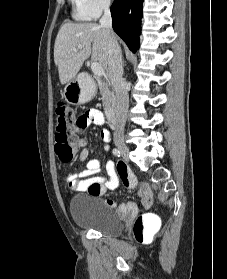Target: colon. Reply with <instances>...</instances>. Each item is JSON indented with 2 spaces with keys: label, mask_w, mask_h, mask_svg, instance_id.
I'll list each match as a JSON object with an SVG mask.
<instances>
[{
  "label": "colon",
  "mask_w": 227,
  "mask_h": 279,
  "mask_svg": "<svg viewBox=\"0 0 227 279\" xmlns=\"http://www.w3.org/2000/svg\"><path fill=\"white\" fill-rule=\"evenodd\" d=\"M55 111V153L62 162L68 163L74 159L76 153V147L72 139L73 133L80 130L85 121V115L76 119L71 107L63 102L56 104ZM118 172L126 175L127 168L120 165ZM89 189L91 192L99 193L102 188L98 183H90ZM155 228L149 214H142L135 222L134 235L137 239L144 240L154 232Z\"/></svg>",
  "instance_id": "1"
}]
</instances>
